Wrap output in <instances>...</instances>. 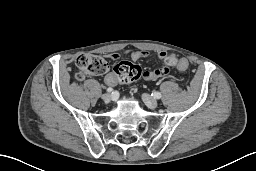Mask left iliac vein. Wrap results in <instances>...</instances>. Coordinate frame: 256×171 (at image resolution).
<instances>
[{"label": "left iliac vein", "instance_id": "obj_1", "mask_svg": "<svg viewBox=\"0 0 256 171\" xmlns=\"http://www.w3.org/2000/svg\"><path fill=\"white\" fill-rule=\"evenodd\" d=\"M142 100L144 101V103L149 107V108H156L158 106V102L156 99H154L153 97H151L149 94L147 93H143L142 94Z\"/></svg>", "mask_w": 256, "mask_h": 171}]
</instances>
